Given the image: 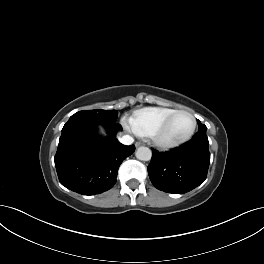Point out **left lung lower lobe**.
I'll return each instance as SVG.
<instances>
[{
    "mask_svg": "<svg viewBox=\"0 0 264 264\" xmlns=\"http://www.w3.org/2000/svg\"><path fill=\"white\" fill-rule=\"evenodd\" d=\"M210 163L209 142L205 132L198 131L193 138L168 152L152 149L147 167L152 184L159 190L184 194L201 185Z\"/></svg>",
    "mask_w": 264,
    "mask_h": 264,
    "instance_id": "obj_1",
    "label": "left lung lower lobe"
}]
</instances>
